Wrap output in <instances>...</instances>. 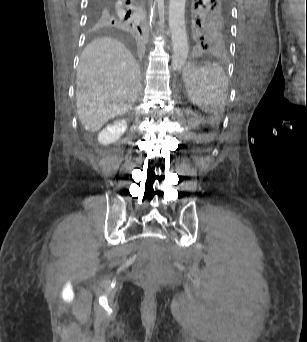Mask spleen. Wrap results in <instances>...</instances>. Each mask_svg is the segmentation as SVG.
Wrapping results in <instances>:
<instances>
[{
    "label": "spleen",
    "instance_id": "spleen-1",
    "mask_svg": "<svg viewBox=\"0 0 307 342\" xmlns=\"http://www.w3.org/2000/svg\"><path fill=\"white\" fill-rule=\"evenodd\" d=\"M201 61H208L207 66L194 65L190 62L185 65L183 72L185 90H189V100L202 106L206 114H222L227 108L225 102L228 78L223 68L215 62L211 64L210 59Z\"/></svg>",
    "mask_w": 307,
    "mask_h": 342
}]
</instances>
